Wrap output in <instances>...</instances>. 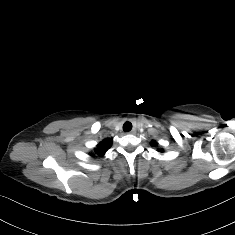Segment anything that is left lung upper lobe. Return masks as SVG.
<instances>
[{"label":"left lung upper lobe","instance_id":"obj_1","mask_svg":"<svg viewBox=\"0 0 235 235\" xmlns=\"http://www.w3.org/2000/svg\"><path fill=\"white\" fill-rule=\"evenodd\" d=\"M151 144H152V146H157V143L155 141H152ZM159 151H161V150H159Z\"/></svg>","mask_w":235,"mask_h":235}]
</instances>
